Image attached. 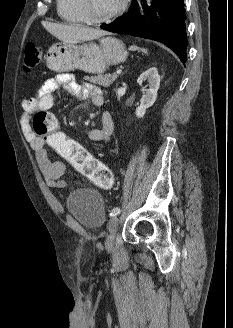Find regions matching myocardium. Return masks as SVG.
<instances>
[{"label":"myocardium","instance_id":"f54148a6","mask_svg":"<svg viewBox=\"0 0 233 328\" xmlns=\"http://www.w3.org/2000/svg\"><path fill=\"white\" fill-rule=\"evenodd\" d=\"M76 1L78 3V7H79L81 13L84 16L86 23H89L92 25H100V24L108 23V22L112 21L113 19H115V18L119 17L121 14H123L128 5V0H121L119 6L112 12H110L107 15H104L102 17H94L89 12L88 0H76Z\"/></svg>","mask_w":233,"mask_h":328}]
</instances>
